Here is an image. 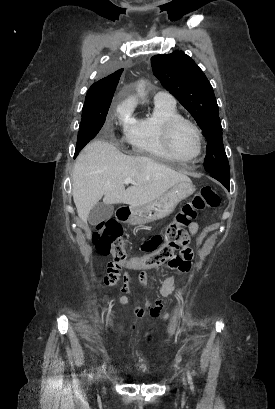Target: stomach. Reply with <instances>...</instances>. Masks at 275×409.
I'll return each instance as SVG.
<instances>
[{
	"mask_svg": "<svg viewBox=\"0 0 275 409\" xmlns=\"http://www.w3.org/2000/svg\"><path fill=\"white\" fill-rule=\"evenodd\" d=\"M194 190V184L190 178L189 180H181L159 198H154V200L146 202V205H141V207H131L128 223L142 227L146 223L164 219V217H168L170 213H173L180 200L193 194Z\"/></svg>",
	"mask_w": 275,
	"mask_h": 409,
	"instance_id": "0dacf381",
	"label": "stomach"
}]
</instances>
